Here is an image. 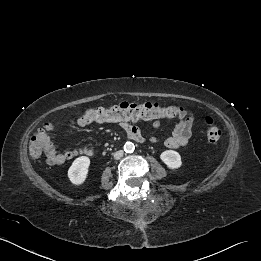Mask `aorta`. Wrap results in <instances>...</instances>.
<instances>
[{"label": "aorta", "mask_w": 261, "mask_h": 261, "mask_svg": "<svg viewBox=\"0 0 261 261\" xmlns=\"http://www.w3.org/2000/svg\"><path fill=\"white\" fill-rule=\"evenodd\" d=\"M135 150V145L132 142H126L124 145V151L126 153H133Z\"/></svg>", "instance_id": "obj_1"}]
</instances>
